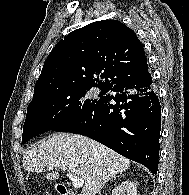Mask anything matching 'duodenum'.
<instances>
[{"instance_id":"410a0bca","label":"duodenum","mask_w":189,"mask_h":195,"mask_svg":"<svg viewBox=\"0 0 189 195\" xmlns=\"http://www.w3.org/2000/svg\"><path fill=\"white\" fill-rule=\"evenodd\" d=\"M57 190L60 193V195H78V194L67 191L61 184L57 185Z\"/></svg>"}]
</instances>
